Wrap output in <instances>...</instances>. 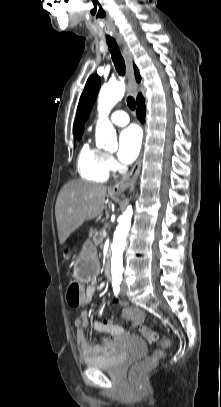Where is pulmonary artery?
<instances>
[{
    "label": "pulmonary artery",
    "instance_id": "1",
    "mask_svg": "<svg viewBox=\"0 0 221 407\" xmlns=\"http://www.w3.org/2000/svg\"><path fill=\"white\" fill-rule=\"evenodd\" d=\"M110 120L117 126H125L129 123V116L125 111L118 110L111 115Z\"/></svg>",
    "mask_w": 221,
    "mask_h": 407
}]
</instances>
